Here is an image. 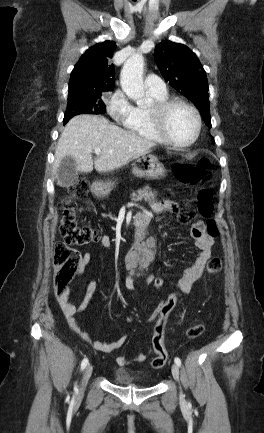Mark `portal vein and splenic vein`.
Returning a JSON list of instances; mask_svg holds the SVG:
<instances>
[{
    "instance_id": "obj_1",
    "label": "portal vein and splenic vein",
    "mask_w": 264,
    "mask_h": 433,
    "mask_svg": "<svg viewBox=\"0 0 264 433\" xmlns=\"http://www.w3.org/2000/svg\"><path fill=\"white\" fill-rule=\"evenodd\" d=\"M94 153L96 155H99L101 153V149H99V148L94 149Z\"/></svg>"
}]
</instances>
